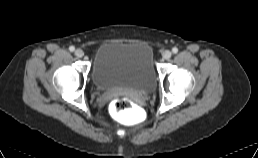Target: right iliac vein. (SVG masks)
<instances>
[{"label":"right iliac vein","mask_w":258,"mask_h":158,"mask_svg":"<svg viewBox=\"0 0 258 158\" xmlns=\"http://www.w3.org/2000/svg\"><path fill=\"white\" fill-rule=\"evenodd\" d=\"M75 55H76V57L81 58V57H83L84 52H83L82 49H77V50L75 51Z\"/></svg>","instance_id":"obj_1"}]
</instances>
